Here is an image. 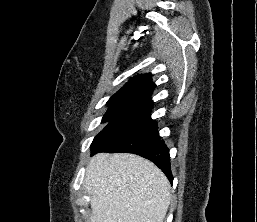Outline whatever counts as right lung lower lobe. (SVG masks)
I'll list each match as a JSON object with an SVG mask.
<instances>
[{"label": "right lung lower lobe", "mask_w": 257, "mask_h": 222, "mask_svg": "<svg viewBox=\"0 0 257 222\" xmlns=\"http://www.w3.org/2000/svg\"><path fill=\"white\" fill-rule=\"evenodd\" d=\"M98 152H127L140 155L156 164L165 173L169 181L173 182L169 149L163 140H160L157 124L152 119L105 146L92 149V155Z\"/></svg>", "instance_id": "1"}]
</instances>
